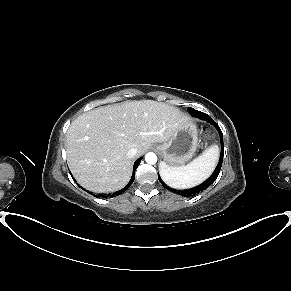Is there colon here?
<instances>
[{
  "label": "colon",
  "mask_w": 291,
  "mask_h": 291,
  "mask_svg": "<svg viewBox=\"0 0 291 291\" xmlns=\"http://www.w3.org/2000/svg\"><path fill=\"white\" fill-rule=\"evenodd\" d=\"M211 139V133L209 131H206L204 133V139H203V145H206L208 141Z\"/></svg>",
  "instance_id": "obj_1"
}]
</instances>
